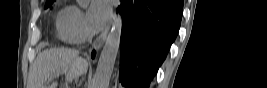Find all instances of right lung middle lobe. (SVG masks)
<instances>
[{
    "mask_svg": "<svg viewBox=\"0 0 267 88\" xmlns=\"http://www.w3.org/2000/svg\"><path fill=\"white\" fill-rule=\"evenodd\" d=\"M53 3V0L49 2L48 6L47 7H50L51 8V4Z\"/></svg>",
    "mask_w": 267,
    "mask_h": 88,
    "instance_id": "obj_1",
    "label": "right lung middle lobe"
}]
</instances>
